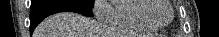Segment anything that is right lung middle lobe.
Wrapping results in <instances>:
<instances>
[{"label":"right lung middle lobe","instance_id":"1","mask_svg":"<svg viewBox=\"0 0 219 37\" xmlns=\"http://www.w3.org/2000/svg\"><path fill=\"white\" fill-rule=\"evenodd\" d=\"M41 1H44V0H32L31 4L38 3V2H41ZM76 2H78V3H80L84 6H87L89 8H92V0H77Z\"/></svg>","mask_w":219,"mask_h":37}]
</instances>
